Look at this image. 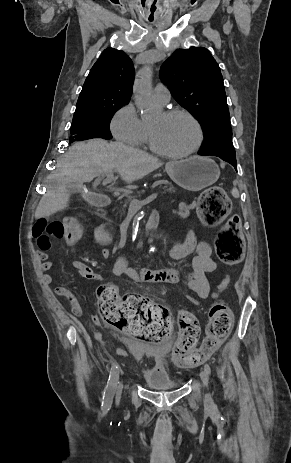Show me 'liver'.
I'll list each match as a JSON object with an SVG mask.
<instances>
[{"mask_svg": "<svg viewBox=\"0 0 291 463\" xmlns=\"http://www.w3.org/2000/svg\"><path fill=\"white\" fill-rule=\"evenodd\" d=\"M162 163L154 156L120 142L92 139L72 145L52 175L55 185L41 198L36 218L64 210L69 203L67 184L82 186L101 174L116 170L121 179L132 183L158 169Z\"/></svg>", "mask_w": 291, "mask_h": 463, "instance_id": "obj_1", "label": "liver"}]
</instances>
